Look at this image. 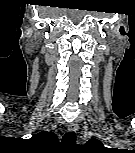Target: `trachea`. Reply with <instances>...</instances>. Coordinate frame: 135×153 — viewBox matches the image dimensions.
I'll list each match as a JSON object with an SVG mask.
<instances>
[{"mask_svg":"<svg viewBox=\"0 0 135 153\" xmlns=\"http://www.w3.org/2000/svg\"><path fill=\"white\" fill-rule=\"evenodd\" d=\"M75 140H76L75 132L71 131V132L66 133L63 136V141L62 142L64 144L71 145V144L75 143Z\"/></svg>","mask_w":135,"mask_h":153,"instance_id":"obj_1","label":"trachea"}]
</instances>
